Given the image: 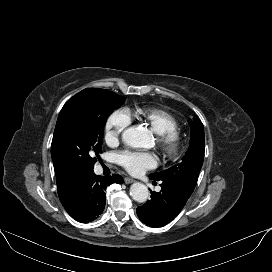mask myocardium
<instances>
[{
  "mask_svg": "<svg viewBox=\"0 0 272 272\" xmlns=\"http://www.w3.org/2000/svg\"><path fill=\"white\" fill-rule=\"evenodd\" d=\"M183 142V135L178 129L156 134L157 145L169 159L178 156L182 149Z\"/></svg>",
  "mask_w": 272,
  "mask_h": 272,
  "instance_id": "obj_1",
  "label": "myocardium"
}]
</instances>
